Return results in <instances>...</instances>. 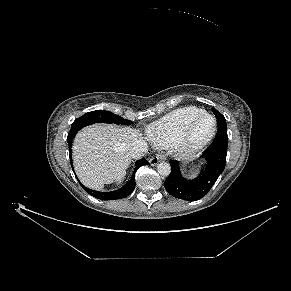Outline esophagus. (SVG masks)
Wrapping results in <instances>:
<instances>
[{
  "label": "esophagus",
  "instance_id": "esophagus-1",
  "mask_svg": "<svg viewBox=\"0 0 291 291\" xmlns=\"http://www.w3.org/2000/svg\"><path fill=\"white\" fill-rule=\"evenodd\" d=\"M164 160V156L163 155H156L154 157H152L149 162L152 166L157 165L160 161Z\"/></svg>",
  "mask_w": 291,
  "mask_h": 291
}]
</instances>
